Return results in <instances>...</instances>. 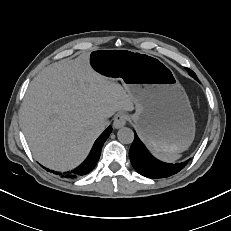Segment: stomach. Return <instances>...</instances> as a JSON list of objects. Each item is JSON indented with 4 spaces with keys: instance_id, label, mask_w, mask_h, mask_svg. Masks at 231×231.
Masks as SVG:
<instances>
[{
    "instance_id": "stomach-1",
    "label": "stomach",
    "mask_w": 231,
    "mask_h": 231,
    "mask_svg": "<svg viewBox=\"0 0 231 231\" xmlns=\"http://www.w3.org/2000/svg\"><path fill=\"white\" fill-rule=\"evenodd\" d=\"M88 63L98 74L122 82L135 103L134 126L151 150L177 154L188 149L195 136L194 113L170 67L128 49L95 50Z\"/></svg>"
}]
</instances>
